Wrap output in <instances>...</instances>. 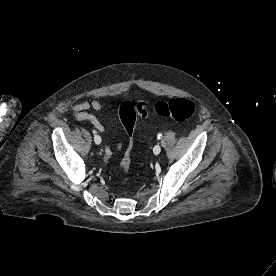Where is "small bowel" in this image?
Returning <instances> with one entry per match:
<instances>
[{"instance_id":"obj_1","label":"small bowel","mask_w":276,"mask_h":276,"mask_svg":"<svg viewBox=\"0 0 276 276\" xmlns=\"http://www.w3.org/2000/svg\"><path fill=\"white\" fill-rule=\"evenodd\" d=\"M107 104L100 100H92L90 102H81L73 106L74 118L77 121L89 122L98 132L104 133L105 127L100 120L93 114L91 110H101L105 108ZM122 143L118 144V148L122 147ZM105 156L110 158L112 156V150L109 146H105Z\"/></svg>"}]
</instances>
